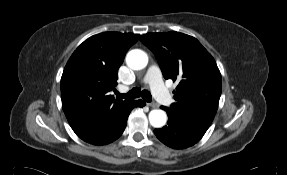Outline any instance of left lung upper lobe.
Masks as SVG:
<instances>
[{
    "mask_svg": "<svg viewBox=\"0 0 287 175\" xmlns=\"http://www.w3.org/2000/svg\"><path fill=\"white\" fill-rule=\"evenodd\" d=\"M141 42L155 54L165 79L178 80L175 102L164 107L187 127L204 135L217 112L221 74L214 58L189 35L148 33Z\"/></svg>",
    "mask_w": 287,
    "mask_h": 175,
    "instance_id": "left-lung-upper-lobe-1",
    "label": "left lung upper lobe"
}]
</instances>
